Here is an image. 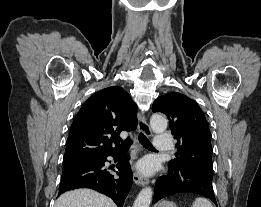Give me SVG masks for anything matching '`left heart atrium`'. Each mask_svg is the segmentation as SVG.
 <instances>
[{
	"label": "left heart atrium",
	"instance_id": "1",
	"mask_svg": "<svg viewBox=\"0 0 261 207\" xmlns=\"http://www.w3.org/2000/svg\"><path fill=\"white\" fill-rule=\"evenodd\" d=\"M154 169H155V162L150 158L143 159L138 164V170L145 175H149L153 173Z\"/></svg>",
	"mask_w": 261,
	"mask_h": 207
}]
</instances>
